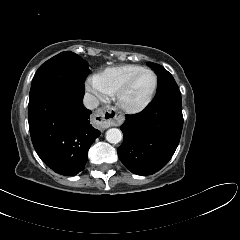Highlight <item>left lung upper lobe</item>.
<instances>
[{
	"label": "left lung upper lobe",
	"instance_id": "5c2ea615",
	"mask_svg": "<svg viewBox=\"0 0 240 240\" xmlns=\"http://www.w3.org/2000/svg\"><path fill=\"white\" fill-rule=\"evenodd\" d=\"M158 77L157 92L153 100L162 98H181L179 88L172 75L162 66L148 62Z\"/></svg>",
	"mask_w": 240,
	"mask_h": 240
}]
</instances>
